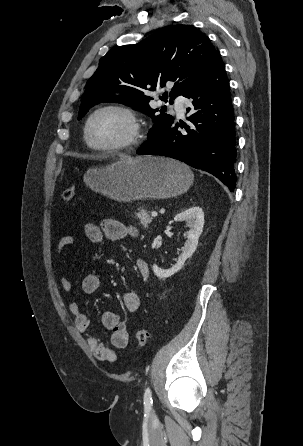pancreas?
Wrapping results in <instances>:
<instances>
[{
    "instance_id": "cf45deb5",
    "label": "pancreas",
    "mask_w": 303,
    "mask_h": 446,
    "mask_svg": "<svg viewBox=\"0 0 303 446\" xmlns=\"http://www.w3.org/2000/svg\"><path fill=\"white\" fill-rule=\"evenodd\" d=\"M139 212L137 213V217L140 219V224L144 227V228H148L149 225L152 222V217L150 216L149 212L143 208H139L138 209Z\"/></svg>"
}]
</instances>
